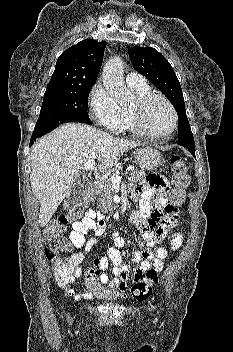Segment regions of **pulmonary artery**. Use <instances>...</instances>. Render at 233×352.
Returning a JSON list of instances; mask_svg holds the SVG:
<instances>
[{
	"instance_id": "e3ab8cb5",
	"label": "pulmonary artery",
	"mask_w": 233,
	"mask_h": 352,
	"mask_svg": "<svg viewBox=\"0 0 233 352\" xmlns=\"http://www.w3.org/2000/svg\"><path fill=\"white\" fill-rule=\"evenodd\" d=\"M125 80L130 88H141L147 85L145 78L137 72H129Z\"/></svg>"
}]
</instances>
